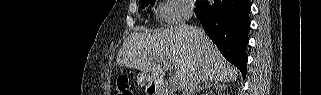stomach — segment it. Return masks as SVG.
I'll use <instances>...</instances> for the list:
<instances>
[{"label": "stomach", "mask_w": 321, "mask_h": 95, "mask_svg": "<svg viewBox=\"0 0 321 95\" xmlns=\"http://www.w3.org/2000/svg\"><path fill=\"white\" fill-rule=\"evenodd\" d=\"M137 83L143 90H146L149 88L151 80L148 76L141 73V74H138L137 76Z\"/></svg>", "instance_id": "1"}]
</instances>
